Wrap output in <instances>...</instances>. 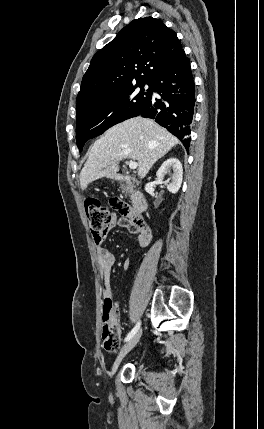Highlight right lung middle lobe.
Here are the masks:
<instances>
[{"instance_id": "dd1d6c3e", "label": "right lung middle lobe", "mask_w": 264, "mask_h": 429, "mask_svg": "<svg viewBox=\"0 0 264 429\" xmlns=\"http://www.w3.org/2000/svg\"><path fill=\"white\" fill-rule=\"evenodd\" d=\"M144 85L137 84L76 107V141L80 152L87 140L141 112L152 95L150 84L147 92Z\"/></svg>"}]
</instances>
